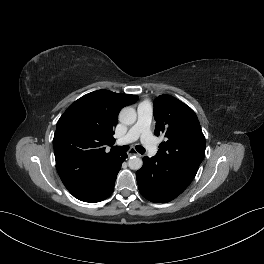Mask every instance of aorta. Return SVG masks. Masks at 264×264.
Instances as JSON below:
<instances>
[{
	"label": "aorta",
	"mask_w": 264,
	"mask_h": 264,
	"mask_svg": "<svg viewBox=\"0 0 264 264\" xmlns=\"http://www.w3.org/2000/svg\"><path fill=\"white\" fill-rule=\"evenodd\" d=\"M137 119V114L134 108L124 107L119 113V120L123 124L132 125ZM143 165L141 158L133 156L128 161V166L132 170H139Z\"/></svg>",
	"instance_id": "aorta-1"
}]
</instances>
